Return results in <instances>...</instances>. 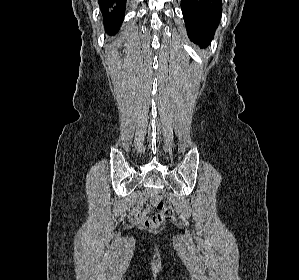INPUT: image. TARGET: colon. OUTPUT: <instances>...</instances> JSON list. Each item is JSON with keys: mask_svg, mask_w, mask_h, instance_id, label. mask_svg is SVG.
Wrapping results in <instances>:
<instances>
[{"mask_svg": "<svg viewBox=\"0 0 299 280\" xmlns=\"http://www.w3.org/2000/svg\"><path fill=\"white\" fill-rule=\"evenodd\" d=\"M153 203L158 208V213L149 218L146 225L150 229H156L161 224L172 221L175 217L174 210L172 206L165 201L161 196H156L153 198Z\"/></svg>", "mask_w": 299, "mask_h": 280, "instance_id": "obj_1", "label": "colon"}]
</instances>
